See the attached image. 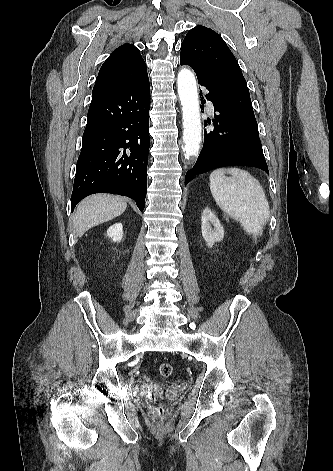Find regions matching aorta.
<instances>
[{
  "label": "aorta",
  "instance_id": "762f6f07",
  "mask_svg": "<svg viewBox=\"0 0 333 471\" xmlns=\"http://www.w3.org/2000/svg\"><path fill=\"white\" fill-rule=\"evenodd\" d=\"M178 94L183 112V151L186 159L198 155L201 142V119L194 74L183 68L177 76Z\"/></svg>",
  "mask_w": 333,
  "mask_h": 471
}]
</instances>
